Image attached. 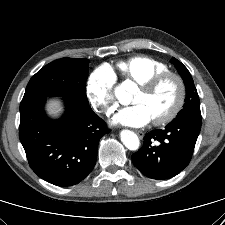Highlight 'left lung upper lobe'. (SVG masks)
<instances>
[{"label": "left lung upper lobe", "mask_w": 225, "mask_h": 225, "mask_svg": "<svg viewBox=\"0 0 225 225\" xmlns=\"http://www.w3.org/2000/svg\"><path fill=\"white\" fill-rule=\"evenodd\" d=\"M172 63L175 64L186 86L185 103L183 109L177 114L175 119H180L187 116H201L199 96L194 86L191 74L177 59L172 58Z\"/></svg>", "instance_id": "obj_1"}]
</instances>
